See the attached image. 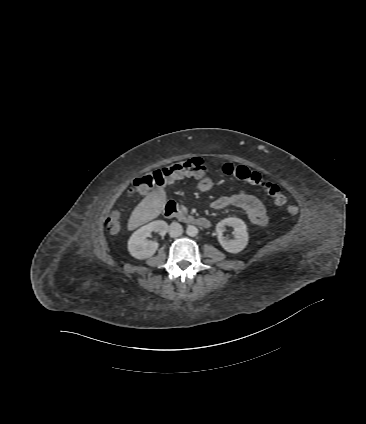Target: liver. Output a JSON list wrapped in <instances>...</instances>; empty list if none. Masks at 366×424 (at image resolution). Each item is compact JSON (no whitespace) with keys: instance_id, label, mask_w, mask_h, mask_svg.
Instances as JSON below:
<instances>
[{"instance_id":"liver-1","label":"liver","mask_w":366,"mask_h":424,"mask_svg":"<svg viewBox=\"0 0 366 424\" xmlns=\"http://www.w3.org/2000/svg\"><path fill=\"white\" fill-rule=\"evenodd\" d=\"M167 202L164 189L150 192L133 210L127 225L128 230H134L139 226L157 218L163 211Z\"/></svg>"}]
</instances>
